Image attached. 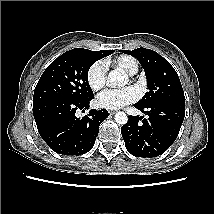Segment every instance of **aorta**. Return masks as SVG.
Masks as SVG:
<instances>
[{
    "instance_id": "obj_1",
    "label": "aorta",
    "mask_w": 214,
    "mask_h": 214,
    "mask_svg": "<svg viewBox=\"0 0 214 214\" xmlns=\"http://www.w3.org/2000/svg\"><path fill=\"white\" fill-rule=\"evenodd\" d=\"M108 81L110 83L111 86L113 87H122L126 84V79L125 77L118 71H111L108 75ZM115 121L116 123L120 124V125H124L127 123L128 121V117L127 115L122 112L119 111L115 114Z\"/></svg>"
}]
</instances>
